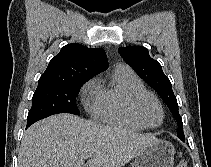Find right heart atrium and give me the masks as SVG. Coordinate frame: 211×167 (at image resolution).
Wrapping results in <instances>:
<instances>
[{
  "mask_svg": "<svg viewBox=\"0 0 211 167\" xmlns=\"http://www.w3.org/2000/svg\"><path fill=\"white\" fill-rule=\"evenodd\" d=\"M82 101L85 108L89 111H93L96 107L99 92L100 82L97 77H93L88 80L82 87Z\"/></svg>",
  "mask_w": 211,
  "mask_h": 167,
  "instance_id": "right-heart-atrium-1",
  "label": "right heart atrium"
}]
</instances>
